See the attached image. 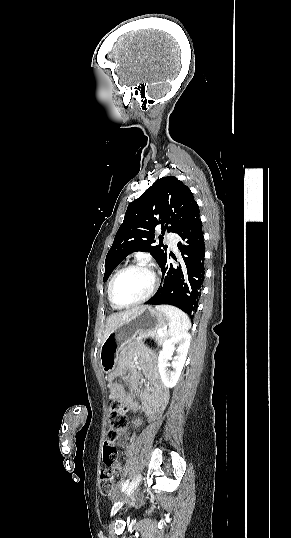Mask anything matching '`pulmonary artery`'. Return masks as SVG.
Listing matches in <instances>:
<instances>
[{
	"label": "pulmonary artery",
	"mask_w": 291,
	"mask_h": 538,
	"mask_svg": "<svg viewBox=\"0 0 291 538\" xmlns=\"http://www.w3.org/2000/svg\"><path fill=\"white\" fill-rule=\"evenodd\" d=\"M166 242L169 244V246L172 249H177V236L174 233H167L166 235Z\"/></svg>",
	"instance_id": "obj_1"
}]
</instances>
